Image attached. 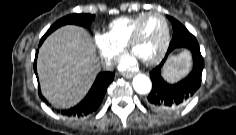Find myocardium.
<instances>
[{
  "label": "myocardium",
  "instance_id": "obj_1",
  "mask_svg": "<svg viewBox=\"0 0 236 135\" xmlns=\"http://www.w3.org/2000/svg\"><path fill=\"white\" fill-rule=\"evenodd\" d=\"M151 16H157L163 21V24H164V40H163V44H162L160 50L158 51V53L154 57H152L150 59H147V60L141 61L143 64L149 65V66L157 64L164 57V55L166 54V52L168 50L169 43H170L169 24H168L167 19L161 13H158V12L145 13V15L135 25V27H134V29H133L130 37H129V40L126 44V51L128 53L132 54L133 48L135 47V45L139 41L142 25L145 22V20L147 18L151 17Z\"/></svg>",
  "mask_w": 236,
  "mask_h": 135
}]
</instances>
